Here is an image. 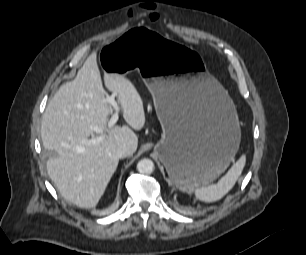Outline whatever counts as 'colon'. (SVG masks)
<instances>
[{"label": "colon", "instance_id": "1", "mask_svg": "<svg viewBox=\"0 0 306 255\" xmlns=\"http://www.w3.org/2000/svg\"><path fill=\"white\" fill-rule=\"evenodd\" d=\"M149 16H150V17L154 16V13H153V12H151V13L149 14Z\"/></svg>", "mask_w": 306, "mask_h": 255}]
</instances>
